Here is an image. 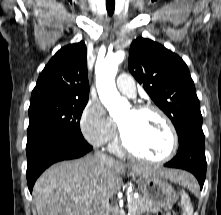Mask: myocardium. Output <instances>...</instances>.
<instances>
[{
    "label": "myocardium",
    "instance_id": "myocardium-1",
    "mask_svg": "<svg viewBox=\"0 0 221 215\" xmlns=\"http://www.w3.org/2000/svg\"><path fill=\"white\" fill-rule=\"evenodd\" d=\"M133 110L138 113L153 112L161 118V120L165 124V126L170 134V138H171L170 150L168 151V153L165 156H163L161 158H150V157H146L144 155H141L130 147V145L128 144V142L125 138L122 128L120 127V125H118L119 143H120L121 150L125 154H127L128 156L138 159V160H141V161H144V162L161 164V163H165V162H168L169 160H171L176 155V153L178 151L179 138H178L177 131H176L172 121L170 120V118L166 115V113L162 109H160L159 107H157L155 105L141 104V105L136 106Z\"/></svg>",
    "mask_w": 221,
    "mask_h": 215
}]
</instances>
